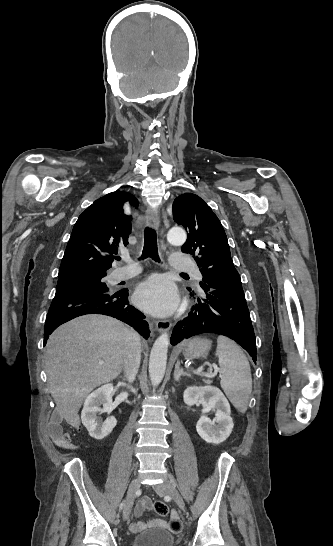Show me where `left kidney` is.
I'll list each match as a JSON object with an SVG mask.
<instances>
[{
	"label": "left kidney",
	"mask_w": 333,
	"mask_h": 546,
	"mask_svg": "<svg viewBox=\"0 0 333 546\" xmlns=\"http://www.w3.org/2000/svg\"><path fill=\"white\" fill-rule=\"evenodd\" d=\"M183 398L188 406L201 404L209 411H215L213 420L203 415L197 422L196 430L203 440L219 444L229 437L234 426L230 404L219 388L210 385L189 387Z\"/></svg>",
	"instance_id": "1"
}]
</instances>
